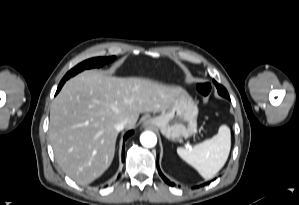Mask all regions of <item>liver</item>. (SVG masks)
<instances>
[{
	"instance_id": "1",
	"label": "liver",
	"mask_w": 299,
	"mask_h": 205,
	"mask_svg": "<svg viewBox=\"0 0 299 205\" xmlns=\"http://www.w3.org/2000/svg\"><path fill=\"white\" fill-rule=\"evenodd\" d=\"M184 90L138 77L86 70L69 79L53 100L49 137L55 159L76 183L86 185L111 165L118 131L134 128L140 113L168 110Z\"/></svg>"
}]
</instances>
